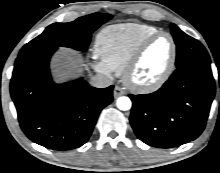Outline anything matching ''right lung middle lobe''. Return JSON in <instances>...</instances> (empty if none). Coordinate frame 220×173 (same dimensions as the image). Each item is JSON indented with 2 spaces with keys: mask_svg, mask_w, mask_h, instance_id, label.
I'll use <instances>...</instances> for the list:
<instances>
[{
  "mask_svg": "<svg viewBox=\"0 0 220 173\" xmlns=\"http://www.w3.org/2000/svg\"><path fill=\"white\" fill-rule=\"evenodd\" d=\"M111 18L109 14L93 13L70 23H54L48 26L41 35L27 43L19 55L58 46L86 50L92 33Z\"/></svg>",
  "mask_w": 220,
  "mask_h": 173,
  "instance_id": "right-lung-middle-lobe-1",
  "label": "right lung middle lobe"
}]
</instances>
